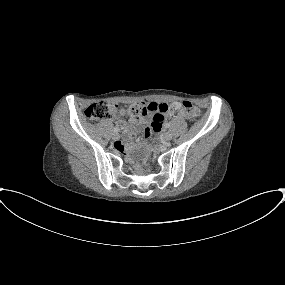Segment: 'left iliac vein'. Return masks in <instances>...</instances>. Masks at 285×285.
I'll return each instance as SVG.
<instances>
[{"label":"left iliac vein","instance_id":"4c4485c4","mask_svg":"<svg viewBox=\"0 0 285 285\" xmlns=\"http://www.w3.org/2000/svg\"><path fill=\"white\" fill-rule=\"evenodd\" d=\"M172 139V134L170 133V132H166L165 134H164V140L166 141V142H168V141H170Z\"/></svg>","mask_w":285,"mask_h":285}]
</instances>
